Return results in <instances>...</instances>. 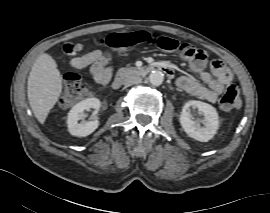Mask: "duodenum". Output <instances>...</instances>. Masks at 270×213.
I'll use <instances>...</instances> for the list:
<instances>
[{"label": "duodenum", "instance_id": "410a0bca", "mask_svg": "<svg viewBox=\"0 0 270 213\" xmlns=\"http://www.w3.org/2000/svg\"><path fill=\"white\" fill-rule=\"evenodd\" d=\"M153 70H158L169 78H172L174 76V73L170 70L168 64H166L164 62L152 63L150 65L143 66L140 69H138L137 73L140 75H145V74L150 73ZM129 74H130V72L128 70L120 71L118 73L117 77L114 79V81L112 83V87L114 89H117L121 84V80L123 78L127 77Z\"/></svg>", "mask_w": 270, "mask_h": 213}]
</instances>
